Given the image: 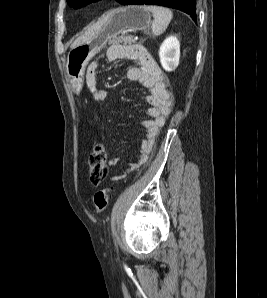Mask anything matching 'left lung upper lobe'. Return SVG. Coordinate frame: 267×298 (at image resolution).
<instances>
[{
  "label": "left lung upper lobe",
  "mask_w": 267,
  "mask_h": 298,
  "mask_svg": "<svg viewBox=\"0 0 267 298\" xmlns=\"http://www.w3.org/2000/svg\"><path fill=\"white\" fill-rule=\"evenodd\" d=\"M94 1H98V0H67L68 5L73 8H81ZM117 1L123 4L126 0H117Z\"/></svg>",
  "instance_id": "5c2ea615"
}]
</instances>
